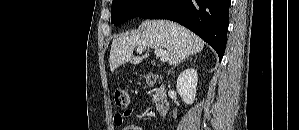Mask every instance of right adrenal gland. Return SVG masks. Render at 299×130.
I'll list each match as a JSON object with an SVG mask.
<instances>
[{"label":"right adrenal gland","mask_w":299,"mask_h":130,"mask_svg":"<svg viewBox=\"0 0 299 130\" xmlns=\"http://www.w3.org/2000/svg\"><path fill=\"white\" fill-rule=\"evenodd\" d=\"M187 60H190V61H191V60H192V58H191V57H188V58H187Z\"/></svg>","instance_id":"obj_1"}]
</instances>
